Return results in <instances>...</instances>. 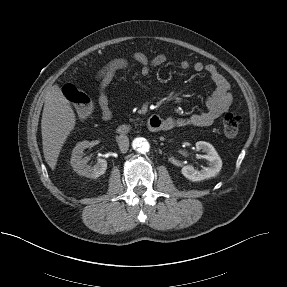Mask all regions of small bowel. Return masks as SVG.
<instances>
[{
  "label": "small bowel",
  "mask_w": 287,
  "mask_h": 287,
  "mask_svg": "<svg viewBox=\"0 0 287 287\" xmlns=\"http://www.w3.org/2000/svg\"><path fill=\"white\" fill-rule=\"evenodd\" d=\"M131 60L139 64L141 74L143 76H147L153 68L164 65L167 62V57L164 54H157L150 58L142 52H134L131 55ZM129 64L130 61L127 58H114L107 62L97 72L96 79L99 84L98 101L103 120L108 121L112 118L107 88L116 74L119 71L126 69ZM180 68L185 71L192 69L196 73L207 74L214 83L215 90L206 101L205 111L192 114L188 117L161 118L163 123L162 130L211 126L221 114L230 108L232 104L233 96L230 92V84L228 80L212 64H203L201 62L191 64L189 61L183 60L180 62Z\"/></svg>",
  "instance_id": "1"
}]
</instances>
